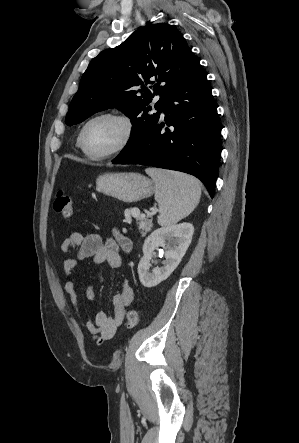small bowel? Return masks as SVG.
Instances as JSON below:
<instances>
[{
  "label": "small bowel",
  "instance_id": "small-bowel-1",
  "mask_svg": "<svg viewBox=\"0 0 299 443\" xmlns=\"http://www.w3.org/2000/svg\"><path fill=\"white\" fill-rule=\"evenodd\" d=\"M59 249L62 253H68L72 250L77 251L76 258H67L64 261V272L67 278L64 290L69 297L74 312L80 319L78 294L71 278L78 260L91 258L95 264H106L109 268L117 270L122 265V251L128 252L131 249V242L119 232H116L114 238L104 240L95 233L82 234L73 231L60 244ZM85 296L88 301L95 300L96 292L93 286L87 287ZM133 299V288L127 281H124L113 297L112 314L98 312L94 319H89L85 323L87 332L94 336L98 344L114 338L117 328L123 322L126 309L132 304Z\"/></svg>",
  "mask_w": 299,
  "mask_h": 443
}]
</instances>
